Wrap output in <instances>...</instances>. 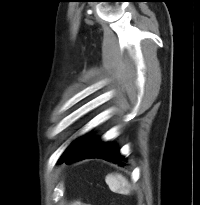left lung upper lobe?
Masks as SVG:
<instances>
[{
  "mask_svg": "<svg viewBox=\"0 0 200 205\" xmlns=\"http://www.w3.org/2000/svg\"><path fill=\"white\" fill-rule=\"evenodd\" d=\"M82 140H83V137H81V138L75 140V141L65 150V152L63 153V155H62V157H61V161H62L65 157H67L71 152H73V151L77 148V146L82 142Z\"/></svg>",
  "mask_w": 200,
  "mask_h": 205,
  "instance_id": "left-lung-upper-lobe-1",
  "label": "left lung upper lobe"
}]
</instances>
